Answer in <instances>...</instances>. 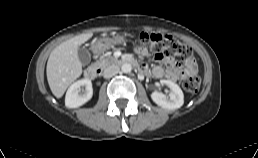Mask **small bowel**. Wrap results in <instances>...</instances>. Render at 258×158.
Returning <instances> with one entry per match:
<instances>
[{"mask_svg":"<svg viewBox=\"0 0 258 158\" xmlns=\"http://www.w3.org/2000/svg\"><path fill=\"white\" fill-rule=\"evenodd\" d=\"M140 54L143 56L148 55L146 49H139ZM156 59L161 62L163 66L157 65L152 68L151 75L156 79H167L169 81L175 82L186 78L190 74H194L197 71V64L194 59L187 62L186 68L182 69L173 59L167 55H157ZM141 72L148 73V67L146 64L140 66Z\"/></svg>","mask_w":258,"mask_h":158,"instance_id":"obj_1","label":"small bowel"}]
</instances>
